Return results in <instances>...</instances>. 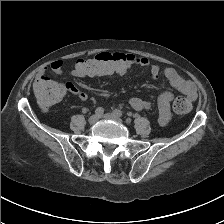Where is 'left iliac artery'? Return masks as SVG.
Wrapping results in <instances>:
<instances>
[{
  "label": "left iliac artery",
  "instance_id": "1",
  "mask_svg": "<svg viewBox=\"0 0 224 224\" xmlns=\"http://www.w3.org/2000/svg\"><path fill=\"white\" fill-rule=\"evenodd\" d=\"M113 113H114L115 115L119 116V117H121V116L123 115L122 111L119 110V109L114 110Z\"/></svg>",
  "mask_w": 224,
  "mask_h": 224
}]
</instances>
